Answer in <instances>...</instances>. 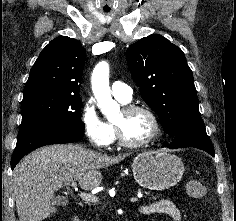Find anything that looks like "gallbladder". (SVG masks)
<instances>
[{"mask_svg":"<svg viewBox=\"0 0 236 221\" xmlns=\"http://www.w3.org/2000/svg\"><path fill=\"white\" fill-rule=\"evenodd\" d=\"M53 203H54L55 205H57V206L63 205V203H64V198L61 197V196H56V197H54V199H53Z\"/></svg>","mask_w":236,"mask_h":221,"instance_id":"bac80fb5","label":"gallbladder"}]
</instances>
